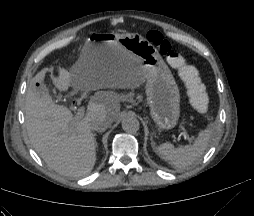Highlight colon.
<instances>
[{"mask_svg": "<svg viewBox=\"0 0 254 216\" xmlns=\"http://www.w3.org/2000/svg\"><path fill=\"white\" fill-rule=\"evenodd\" d=\"M148 40L156 45L169 64L177 70L178 76L185 86L191 106L199 113H204L209 106V98L194 67L187 63L186 58L174 50L160 32L151 30L147 33Z\"/></svg>", "mask_w": 254, "mask_h": 216, "instance_id": "5ec220e1", "label": "colon"}]
</instances>
